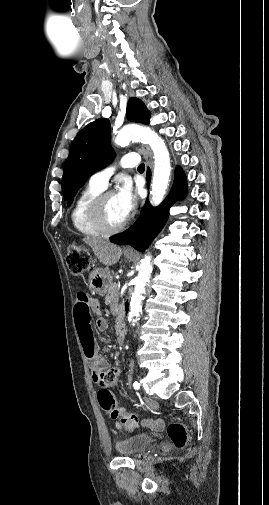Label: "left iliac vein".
<instances>
[{"mask_svg":"<svg viewBox=\"0 0 269 505\" xmlns=\"http://www.w3.org/2000/svg\"><path fill=\"white\" fill-rule=\"evenodd\" d=\"M147 407L152 411V412H157L159 410V405L155 400H152L150 398H147Z\"/></svg>","mask_w":269,"mask_h":505,"instance_id":"obj_1","label":"left iliac vein"}]
</instances>
